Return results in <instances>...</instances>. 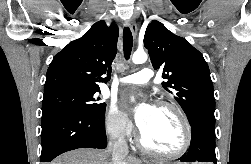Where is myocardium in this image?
Wrapping results in <instances>:
<instances>
[{
    "label": "myocardium",
    "mask_w": 251,
    "mask_h": 164,
    "mask_svg": "<svg viewBox=\"0 0 251 164\" xmlns=\"http://www.w3.org/2000/svg\"><path fill=\"white\" fill-rule=\"evenodd\" d=\"M156 107L168 108L175 112V114L179 118L183 127L184 137H183L182 145L178 150L174 152L159 151L147 145V143L145 142L143 138L142 132H140L138 135V144L142 150H144L145 152L151 155L162 157V158H169V159L178 158L188 151L192 142V128H191L190 121L186 113L184 112V110L175 102L167 101V100H160L156 102Z\"/></svg>",
    "instance_id": "obj_1"
}]
</instances>
